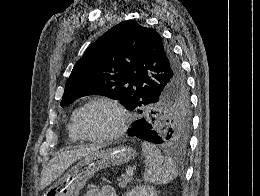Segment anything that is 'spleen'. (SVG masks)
I'll return each mask as SVG.
<instances>
[{
  "instance_id": "spleen-1",
  "label": "spleen",
  "mask_w": 260,
  "mask_h": 196,
  "mask_svg": "<svg viewBox=\"0 0 260 196\" xmlns=\"http://www.w3.org/2000/svg\"><path fill=\"white\" fill-rule=\"evenodd\" d=\"M141 148L147 166L143 176L144 182H148V184H168L178 176L175 162L168 156H162L160 150L154 144L142 142Z\"/></svg>"
}]
</instances>
